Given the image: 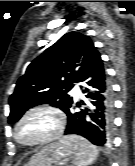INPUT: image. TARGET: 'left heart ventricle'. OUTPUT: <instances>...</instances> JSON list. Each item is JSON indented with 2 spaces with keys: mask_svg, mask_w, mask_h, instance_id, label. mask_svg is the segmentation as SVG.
I'll return each mask as SVG.
<instances>
[{
  "mask_svg": "<svg viewBox=\"0 0 135 166\" xmlns=\"http://www.w3.org/2000/svg\"><path fill=\"white\" fill-rule=\"evenodd\" d=\"M55 126V119L48 113H36L27 118L18 129L22 141H35L50 134Z\"/></svg>",
  "mask_w": 135,
  "mask_h": 166,
  "instance_id": "left-heart-ventricle-1",
  "label": "left heart ventricle"
}]
</instances>
